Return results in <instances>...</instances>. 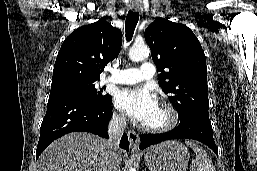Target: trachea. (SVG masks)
Returning a JSON list of instances; mask_svg holds the SVG:
<instances>
[{
	"label": "trachea",
	"mask_w": 257,
	"mask_h": 171,
	"mask_svg": "<svg viewBox=\"0 0 257 171\" xmlns=\"http://www.w3.org/2000/svg\"><path fill=\"white\" fill-rule=\"evenodd\" d=\"M138 20H139V13L130 10L126 16V23H125V32H126L127 41H130L132 39Z\"/></svg>",
	"instance_id": "3493384b"
}]
</instances>
